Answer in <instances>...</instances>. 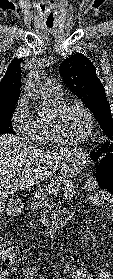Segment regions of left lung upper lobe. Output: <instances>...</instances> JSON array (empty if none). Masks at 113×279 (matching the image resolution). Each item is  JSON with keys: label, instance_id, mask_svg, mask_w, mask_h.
Returning <instances> with one entry per match:
<instances>
[{"label": "left lung upper lobe", "instance_id": "1", "mask_svg": "<svg viewBox=\"0 0 113 279\" xmlns=\"http://www.w3.org/2000/svg\"><path fill=\"white\" fill-rule=\"evenodd\" d=\"M66 86L93 113L105 135L113 138V119L103 84L96 76L93 63L77 53L65 59L59 67Z\"/></svg>", "mask_w": 113, "mask_h": 279}]
</instances>
